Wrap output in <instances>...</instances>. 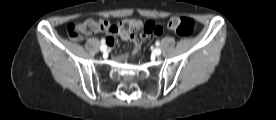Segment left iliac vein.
I'll list each match as a JSON object with an SVG mask.
<instances>
[{
  "mask_svg": "<svg viewBox=\"0 0 276 120\" xmlns=\"http://www.w3.org/2000/svg\"><path fill=\"white\" fill-rule=\"evenodd\" d=\"M161 49L160 48H156V49H154V51H153V53H154V55L155 56H160L161 55Z\"/></svg>",
  "mask_w": 276,
  "mask_h": 120,
  "instance_id": "left-iliac-vein-1",
  "label": "left iliac vein"
}]
</instances>
